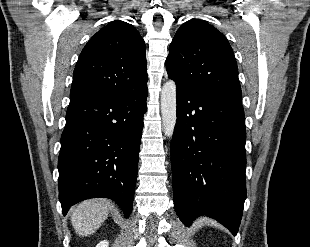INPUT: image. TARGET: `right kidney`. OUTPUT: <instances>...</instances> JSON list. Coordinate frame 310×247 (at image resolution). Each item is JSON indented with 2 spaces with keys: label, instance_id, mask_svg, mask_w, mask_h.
<instances>
[{
  "label": "right kidney",
  "instance_id": "1",
  "mask_svg": "<svg viewBox=\"0 0 310 247\" xmlns=\"http://www.w3.org/2000/svg\"><path fill=\"white\" fill-rule=\"evenodd\" d=\"M109 243L106 240L99 242L96 247H108Z\"/></svg>",
  "mask_w": 310,
  "mask_h": 247
}]
</instances>
